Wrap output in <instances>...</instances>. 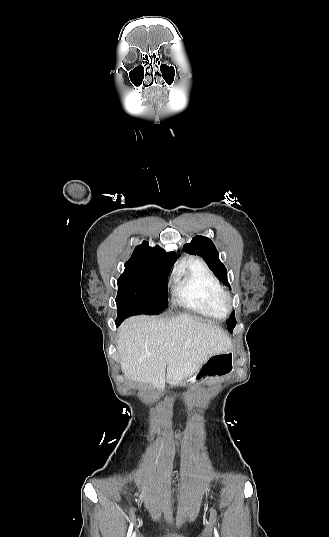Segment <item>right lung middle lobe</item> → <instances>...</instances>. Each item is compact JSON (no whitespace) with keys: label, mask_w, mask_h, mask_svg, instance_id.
I'll return each instance as SVG.
<instances>
[{"label":"right lung middle lobe","mask_w":329,"mask_h":537,"mask_svg":"<svg viewBox=\"0 0 329 537\" xmlns=\"http://www.w3.org/2000/svg\"><path fill=\"white\" fill-rule=\"evenodd\" d=\"M170 269L153 265L126 270L119 277L116 297L118 325L129 316L158 314L167 307Z\"/></svg>","instance_id":"dd1d6c3e"}]
</instances>
